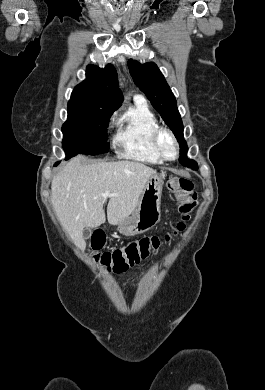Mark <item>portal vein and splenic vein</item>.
<instances>
[{
	"mask_svg": "<svg viewBox=\"0 0 265 390\" xmlns=\"http://www.w3.org/2000/svg\"><path fill=\"white\" fill-rule=\"evenodd\" d=\"M113 195H114V194H111L110 191H106L102 196H103L104 198H107V197L113 196Z\"/></svg>",
	"mask_w": 265,
	"mask_h": 390,
	"instance_id": "18ae733b",
	"label": "portal vein and splenic vein"
}]
</instances>
